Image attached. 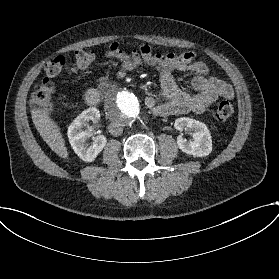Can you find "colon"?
<instances>
[{
  "label": "colon",
  "instance_id": "1",
  "mask_svg": "<svg viewBox=\"0 0 279 279\" xmlns=\"http://www.w3.org/2000/svg\"><path fill=\"white\" fill-rule=\"evenodd\" d=\"M94 61V54L87 50H78L75 53L73 61V71H81L88 68ZM65 67V62L61 58L49 60L44 66V74L46 82L40 85L31 96V105L35 109L49 111L52 108L53 96L55 93L54 85L50 79L62 75ZM233 113V106L230 102L224 100L218 103L215 118L218 121L228 120Z\"/></svg>",
  "mask_w": 279,
  "mask_h": 279
}]
</instances>
